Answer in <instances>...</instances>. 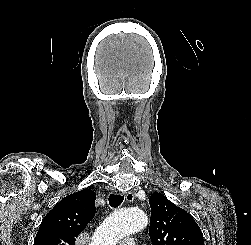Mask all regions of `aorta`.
Returning a JSON list of instances; mask_svg holds the SVG:
<instances>
[{
  "label": "aorta",
  "mask_w": 251,
  "mask_h": 245,
  "mask_svg": "<svg viewBox=\"0 0 251 245\" xmlns=\"http://www.w3.org/2000/svg\"><path fill=\"white\" fill-rule=\"evenodd\" d=\"M148 217L140 209L127 208L109 215L95 231L91 245H117L120 239L144 229Z\"/></svg>",
  "instance_id": "aorta-1"
}]
</instances>
